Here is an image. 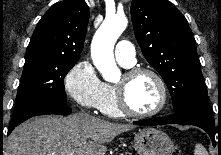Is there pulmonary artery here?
I'll return each instance as SVG.
<instances>
[{
  "instance_id": "obj_1",
  "label": "pulmonary artery",
  "mask_w": 221,
  "mask_h": 155,
  "mask_svg": "<svg viewBox=\"0 0 221 155\" xmlns=\"http://www.w3.org/2000/svg\"><path fill=\"white\" fill-rule=\"evenodd\" d=\"M115 58L123 66L131 67L135 63V50L127 40H121L115 48Z\"/></svg>"
}]
</instances>
